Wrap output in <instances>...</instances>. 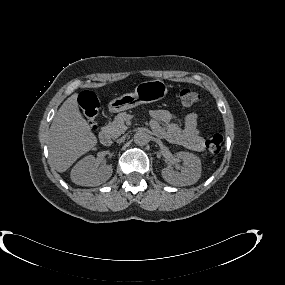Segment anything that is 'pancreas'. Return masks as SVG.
Returning a JSON list of instances; mask_svg holds the SVG:
<instances>
[{
  "mask_svg": "<svg viewBox=\"0 0 285 285\" xmlns=\"http://www.w3.org/2000/svg\"><path fill=\"white\" fill-rule=\"evenodd\" d=\"M127 118H128V114L126 112L117 114L113 122H109V124L104 127L105 131L112 138H117L122 133H124L126 129L128 128L125 125V121L127 120Z\"/></svg>",
  "mask_w": 285,
  "mask_h": 285,
  "instance_id": "1",
  "label": "pancreas"
}]
</instances>
